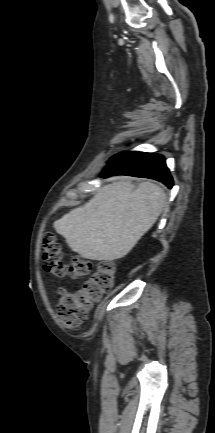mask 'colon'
<instances>
[{
	"instance_id": "colon-1",
	"label": "colon",
	"mask_w": 215,
	"mask_h": 433,
	"mask_svg": "<svg viewBox=\"0 0 215 433\" xmlns=\"http://www.w3.org/2000/svg\"><path fill=\"white\" fill-rule=\"evenodd\" d=\"M42 255L47 271L55 277L71 276L83 278L88 276L81 287L74 290L60 291L57 304V318L65 327H76L84 323L94 303L112 289L116 269L110 261H100L94 271L93 264L82 257L74 256L69 263L63 260L62 246L52 232H45L42 240Z\"/></svg>"
}]
</instances>
